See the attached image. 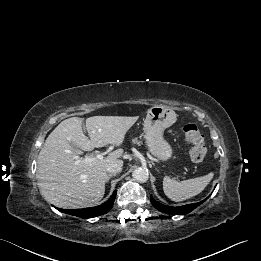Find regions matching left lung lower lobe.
<instances>
[{"mask_svg":"<svg viewBox=\"0 0 261 261\" xmlns=\"http://www.w3.org/2000/svg\"><path fill=\"white\" fill-rule=\"evenodd\" d=\"M205 200L198 202V203L183 205L180 207H171V206L163 205V204L157 202L156 200L153 199L152 196L150 197V201L156 209H158L159 211H161L163 213L173 214V215H185V214L191 212L192 210H194L198 205L203 203Z\"/></svg>","mask_w":261,"mask_h":261,"instance_id":"1","label":"left lung lower lobe"}]
</instances>
